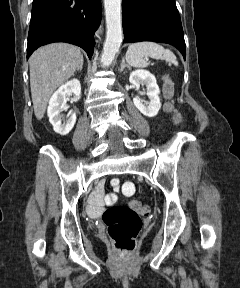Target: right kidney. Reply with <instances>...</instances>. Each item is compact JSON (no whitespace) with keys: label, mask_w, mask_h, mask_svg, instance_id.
I'll use <instances>...</instances> for the list:
<instances>
[{"label":"right kidney","mask_w":240,"mask_h":288,"mask_svg":"<svg viewBox=\"0 0 240 288\" xmlns=\"http://www.w3.org/2000/svg\"><path fill=\"white\" fill-rule=\"evenodd\" d=\"M70 93H73L75 96L80 95L81 85L78 79H72L59 87L50 98L47 109L49 121L53 125L54 131L62 136L67 135L76 122V114L69 112L67 120L62 123L63 115L61 113L68 109L66 97Z\"/></svg>","instance_id":"ca27d5eb"}]
</instances>
